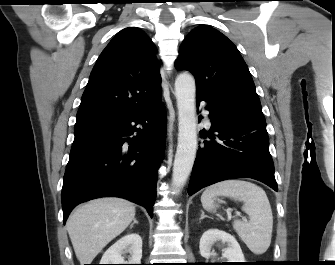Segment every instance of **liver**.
<instances>
[{"mask_svg": "<svg viewBox=\"0 0 335 265\" xmlns=\"http://www.w3.org/2000/svg\"><path fill=\"white\" fill-rule=\"evenodd\" d=\"M135 206L121 198H98L79 206L67 221V231L81 265L99 252L134 220Z\"/></svg>", "mask_w": 335, "mask_h": 265, "instance_id": "6515ba94", "label": "liver"}]
</instances>
